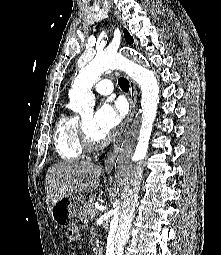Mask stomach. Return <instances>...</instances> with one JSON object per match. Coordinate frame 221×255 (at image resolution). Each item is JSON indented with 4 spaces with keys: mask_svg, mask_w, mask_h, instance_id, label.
<instances>
[{
    "mask_svg": "<svg viewBox=\"0 0 221 255\" xmlns=\"http://www.w3.org/2000/svg\"><path fill=\"white\" fill-rule=\"evenodd\" d=\"M85 199L80 194H69L58 200L52 207L53 220L62 227L75 226L84 211Z\"/></svg>",
    "mask_w": 221,
    "mask_h": 255,
    "instance_id": "1",
    "label": "stomach"
}]
</instances>
